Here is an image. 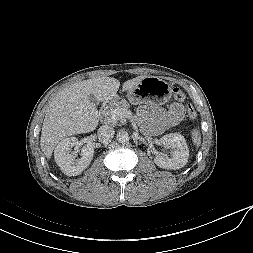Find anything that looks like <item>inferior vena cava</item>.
<instances>
[{
    "instance_id": "inferior-vena-cava-1",
    "label": "inferior vena cava",
    "mask_w": 253,
    "mask_h": 253,
    "mask_svg": "<svg viewBox=\"0 0 253 253\" xmlns=\"http://www.w3.org/2000/svg\"><path fill=\"white\" fill-rule=\"evenodd\" d=\"M114 129L109 125H103L98 129V139L103 143H108L114 137Z\"/></svg>"
}]
</instances>
